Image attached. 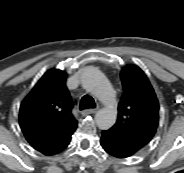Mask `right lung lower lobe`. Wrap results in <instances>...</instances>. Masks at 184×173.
I'll use <instances>...</instances> for the list:
<instances>
[{
    "mask_svg": "<svg viewBox=\"0 0 184 173\" xmlns=\"http://www.w3.org/2000/svg\"><path fill=\"white\" fill-rule=\"evenodd\" d=\"M70 139H71V138H70ZM69 143H70V140H69L62 148H60L57 152H55V153L52 154V155H55V154H58V153L62 152V151L68 146Z\"/></svg>",
    "mask_w": 184,
    "mask_h": 173,
    "instance_id": "obj_1",
    "label": "right lung lower lobe"
}]
</instances>
